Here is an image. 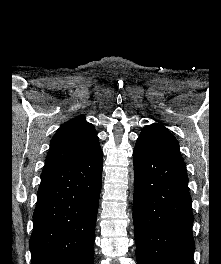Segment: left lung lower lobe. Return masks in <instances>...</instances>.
I'll return each instance as SVG.
<instances>
[{
    "instance_id": "obj_1",
    "label": "left lung lower lobe",
    "mask_w": 221,
    "mask_h": 264,
    "mask_svg": "<svg viewBox=\"0 0 221 264\" xmlns=\"http://www.w3.org/2000/svg\"><path fill=\"white\" fill-rule=\"evenodd\" d=\"M133 164L137 263L194 264V218L185 162L136 142Z\"/></svg>"
}]
</instances>
